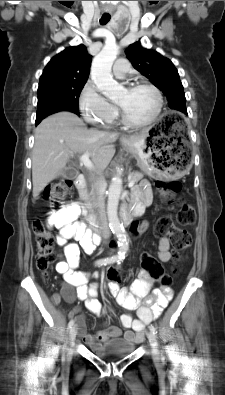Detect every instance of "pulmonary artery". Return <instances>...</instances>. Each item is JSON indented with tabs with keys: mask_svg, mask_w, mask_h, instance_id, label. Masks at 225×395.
I'll use <instances>...</instances> for the list:
<instances>
[{
	"mask_svg": "<svg viewBox=\"0 0 225 395\" xmlns=\"http://www.w3.org/2000/svg\"><path fill=\"white\" fill-rule=\"evenodd\" d=\"M129 69V63L126 59H119L113 66V75L117 78H123Z\"/></svg>",
	"mask_w": 225,
	"mask_h": 395,
	"instance_id": "obj_1",
	"label": "pulmonary artery"
}]
</instances>
